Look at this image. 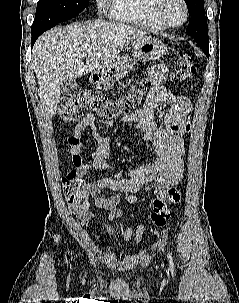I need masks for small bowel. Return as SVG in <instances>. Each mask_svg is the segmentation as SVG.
Wrapping results in <instances>:
<instances>
[{
    "label": "small bowel",
    "mask_w": 239,
    "mask_h": 303,
    "mask_svg": "<svg viewBox=\"0 0 239 303\" xmlns=\"http://www.w3.org/2000/svg\"><path fill=\"white\" fill-rule=\"evenodd\" d=\"M167 71L168 68L164 65L146 71L145 77L151 81L152 87L144 111L125 119L137 123L144 133L145 140L151 144L154 159L150 163L132 168L125 174L116 171L108 161L112 141L96 132L97 119L92 113L86 114L69 136L70 154L78 175L84 177L94 170L105 173L97 182L85 185L70 205L71 213L80 220L90 221L99 215L90 210V197L98 207L110 210V220H116L121 217V211L117 209L120 194H124L128 201L135 202L138 200L137 194L140 188L145 184L150 183L146 188L147 192L157 194L169 187L177 186L182 180L185 147L182 139L184 129L181 115L186 113L190 106L186 98L174 95L165 87ZM163 103L169 104L171 111L164 118V129H160L153 112ZM106 123L112 125L110 122ZM87 130H91L95 137L97 149L85 162L82 151L85 145L83 136ZM102 189L115 190L120 194L104 196L101 194Z\"/></svg>",
    "instance_id": "obj_1"
}]
</instances>
